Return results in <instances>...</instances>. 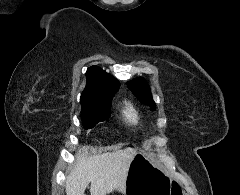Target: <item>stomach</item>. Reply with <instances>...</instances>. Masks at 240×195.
Wrapping results in <instances>:
<instances>
[{
  "label": "stomach",
  "instance_id": "obj_1",
  "mask_svg": "<svg viewBox=\"0 0 240 195\" xmlns=\"http://www.w3.org/2000/svg\"><path fill=\"white\" fill-rule=\"evenodd\" d=\"M171 179L156 161L134 151L126 177L124 195H170Z\"/></svg>",
  "mask_w": 240,
  "mask_h": 195
}]
</instances>
